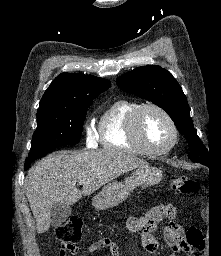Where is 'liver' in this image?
Masks as SVG:
<instances>
[{
	"instance_id": "obj_1",
	"label": "liver",
	"mask_w": 221,
	"mask_h": 256,
	"mask_svg": "<svg viewBox=\"0 0 221 256\" xmlns=\"http://www.w3.org/2000/svg\"><path fill=\"white\" fill-rule=\"evenodd\" d=\"M147 164L143 159L114 149L61 151L37 162L28 171L24 183L37 232L49 230L55 203L72 205L82 195H90L120 175ZM80 181H83L82 190L76 188Z\"/></svg>"
}]
</instances>
